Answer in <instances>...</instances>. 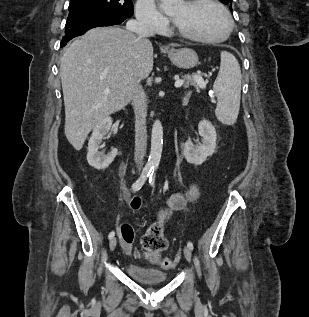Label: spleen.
Instances as JSON below:
<instances>
[{
    "instance_id": "1",
    "label": "spleen",
    "mask_w": 309,
    "mask_h": 317,
    "mask_svg": "<svg viewBox=\"0 0 309 317\" xmlns=\"http://www.w3.org/2000/svg\"><path fill=\"white\" fill-rule=\"evenodd\" d=\"M220 56V69L213 85L218 99L215 114L221 123L232 125L237 120L240 108L241 69L231 53L222 51Z\"/></svg>"
}]
</instances>
